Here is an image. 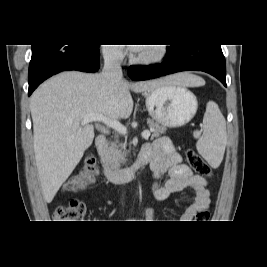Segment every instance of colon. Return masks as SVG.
I'll use <instances>...</instances> for the list:
<instances>
[{"label":"colon","instance_id":"obj_1","mask_svg":"<svg viewBox=\"0 0 267 267\" xmlns=\"http://www.w3.org/2000/svg\"><path fill=\"white\" fill-rule=\"evenodd\" d=\"M186 160L189 166L200 176L210 178L212 173L208 164L192 149L187 150ZM95 158L88 155L83 160L82 170L70 181L68 186H72L75 180L86 182L90 180L96 172ZM85 204L80 200H71L67 205L59 206L55 209L53 217L55 222L72 223L78 222L85 215ZM210 213L208 210H202L197 215L198 222H207Z\"/></svg>","mask_w":267,"mask_h":267}]
</instances>
